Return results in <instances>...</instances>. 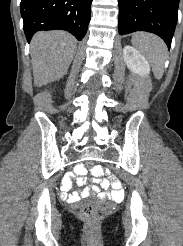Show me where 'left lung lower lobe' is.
Returning <instances> with one entry per match:
<instances>
[{
    "label": "left lung lower lobe",
    "mask_w": 183,
    "mask_h": 246,
    "mask_svg": "<svg viewBox=\"0 0 183 246\" xmlns=\"http://www.w3.org/2000/svg\"><path fill=\"white\" fill-rule=\"evenodd\" d=\"M119 34L147 31L171 46L179 0H118Z\"/></svg>",
    "instance_id": "0a47b994"
}]
</instances>
